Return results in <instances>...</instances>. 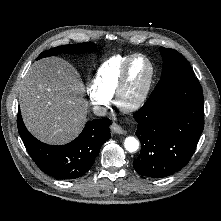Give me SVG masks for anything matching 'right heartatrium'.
I'll use <instances>...</instances> for the list:
<instances>
[{"mask_svg": "<svg viewBox=\"0 0 221 221\" xmlns=\"http://www.w3.org/2000/svg\"><path fill=\"white\" fill-rule=\"evenodd\" d=\"M86 92L90 102L98 108H106L110 104V99L101 95L92 84H88Z\"/></svg>", "mask_w": 221, "mask_h": 221, "instance_id": "right-heart-atrium-1", "label": "right heart atrium"}]
</instances>
